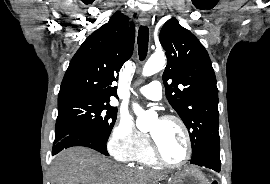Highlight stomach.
I'll use <instances>...</instances> for the list:
<instances>
[{"label": "stomach", "mask_w": 270, "mask_h": 184, "mask_svg": "<svg viewBox=\"0 0 270 184\" xmlns=\"http://www.w3.org/2000/svg\"><path fill=\"white\" fill-rule=\"evenodd\" d=\"M169 182V184H208L201 171L190 167L171 175Z\"/></svg>", "instance_id": "0dacf381"}]
</instances>
